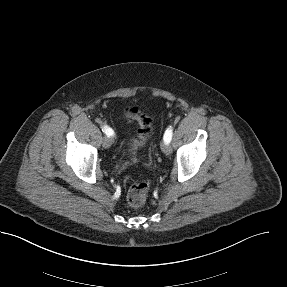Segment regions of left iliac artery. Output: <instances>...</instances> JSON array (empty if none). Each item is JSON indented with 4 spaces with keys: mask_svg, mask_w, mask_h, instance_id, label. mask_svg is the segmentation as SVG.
I'll use <instances>...</instances> for the list:
<instances>
[{
    "mask_svg": "<svg viewBox=\"0 0 287 287\" xmlns=\"http://www.w3.org/2000/svg\"><path fill=\"white\" fill-rule=\"evenodd\" d=\"M172 134H173V129L170 126L169 128L166 129L164 136H163V140L165 143H170L172 139Z\"/></svg>",
    "mask_w": 287,
    "mask_h": 287,
    "instance_id": "1",
    "label": "left iliac artery"
}]
</instances>
